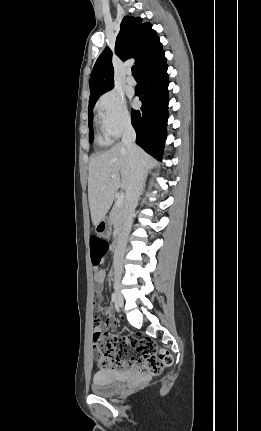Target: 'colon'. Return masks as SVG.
Returning a JSON list of instances; mask_svg holds the SVG:
<instances>
[{"instance_id": "obj_1", "label": "colon", "mask_w": 261, "mask_h": 431, "mask_svg": "<svg viewBox=\"0 0 261 431\" xmlns=\"http://www.w3.org/2000/svg\"><path fill=\"white\" fill-rule=\"evenodd\" d=\"M109 248L106 240L98 236L90 237L93 266L97 267L103 262ZM100 322V318L96 317L95 323ZM94 347L102 367L118 370L128 368L143 376L158 375L173 363L168 350L158 349L152 340L135 334L120 337L112 332L96 331Z\"/></svg>"}]
</instances>
